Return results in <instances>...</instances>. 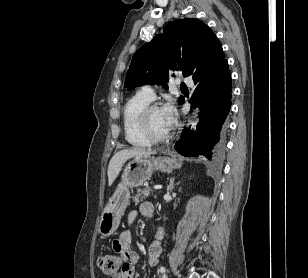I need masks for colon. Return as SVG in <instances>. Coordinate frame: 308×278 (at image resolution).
<instances>
[{
  "label": "colon",
  "mask_w": 308,
  "mask_h": 278,
  "mask_svg": "<svg viewBox=\"0 0 308 278\" xmlns=\"http://www.w3.org/2000/svg\"><path fill=\"white\" fill-rule=\"evenodd\" d=\"M100 270L109 276H113L118 273L121 267V258L116 254H102L97 260Z\"/></svg>",
  "instance_id": "colon-1"
}]
</instances>
